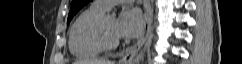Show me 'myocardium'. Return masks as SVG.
I'll return each instance as SVG.
<instances>
[{"label":"myocardium","mask_w":242,"mask_h":64,"mask_svg":"<svg viewBox=\"0 0 242 64\" xmlns=\"http://www.w3.org/2000/svg\"><path fill=\"white\" fill-rule=\"evenodd\" d=\"M105 14L92 19L83 30V39L91 47L100 52L110 51L117 47L119 40L115 37L112 40H107L103 33Z\"/></svg>","instance_id":"f54148a6"}]
</instances>
